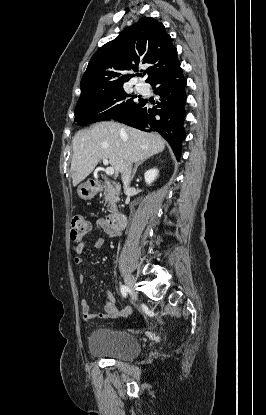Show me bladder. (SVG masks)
Returning a JSON list of instances; mask_svg holds the SVG:
<instances>
[{
    "instance_id": "obj_1",
    "label": "bladder",
    "mask_w": 266,
    "mask_h": 415,
    "mask_svg": "<svg viewBox=\"0 0 266 415\" xmlns=\"http://www.w3.org/2000/svg\"><path fill=\"white\" fill-rule=\"evenodd\" d=\"M89 352L96 357L131 360L141 352L138 339L124 330L97 328L88 337Z\"/></svg>"
}]
</instances>
